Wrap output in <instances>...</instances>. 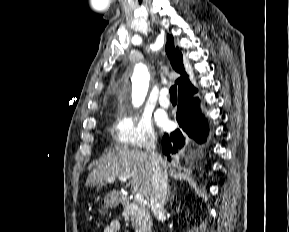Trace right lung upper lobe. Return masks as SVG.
<instances>
[{
	"label": "right lung upper lobe",
	"mask_w": 289,
	"mask_h": 232,
	"mask_svg": "<svg viewBox=\"0 0 289 232\" xmlns=\"http://www.w3.org/2000/svg\"><path fill=\"white\" fill-rule=\"evenodd\" d=\"M166 53L171 61L172 67L176 72L181 74V77L177 79L178 93L183 94L189 91L195 90L193 85L188 79V75L184 70L183 56L178 48L173 49V37L168 35V42L166 44Z\"/></svg>",
	"instance_id": "1"
}]
</instances>
